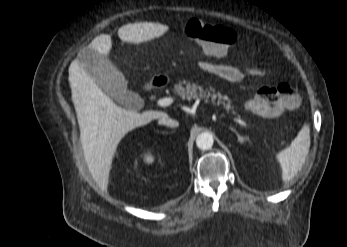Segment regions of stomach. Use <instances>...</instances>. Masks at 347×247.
Returning <instances> with one entry per match:
<instances>
[{
	"instance_id": "0dacf381",
	"label": "stomach",
	"mask_w": 347,
	"mask_h": 247,
	"mask_svg": "<svg viewBox=\"0 0 347 247\" xmlns=\"http://www.w3.org/2000/svg\"><path fill=\"white\" fill-rule=\"evenodd\" d=\"M158 77H164V76H160V75H159V76H157L156 78H158Z\"/></svg>"
}]
</instances>
